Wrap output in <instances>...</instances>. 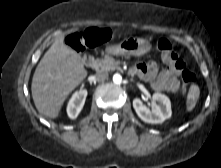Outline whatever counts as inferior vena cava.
<instances>
[{
	"label": "inferior vena cava",
	"mask_w": 221,
	"mask_h": 168,
	"mask_svg": "<svg viewBox=\"0 0 221 168\" xmlns=\"http://www.w3.org/2000/svg\"><path fill=\"white\" fill-rule=\"evenodd\" d=\"M95 78L97 81H104L105 79L108 78V73L104 71H100L95 74Z\"/></svg>",
	"instance_id": "obj_1"
}]
</instances>
